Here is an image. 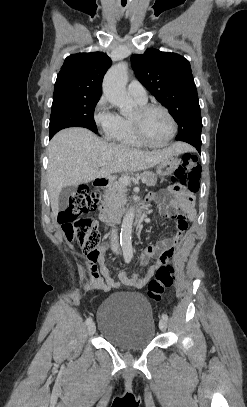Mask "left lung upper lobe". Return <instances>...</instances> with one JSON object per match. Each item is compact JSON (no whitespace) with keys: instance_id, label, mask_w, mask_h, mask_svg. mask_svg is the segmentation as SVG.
Segmentation results:
<instances>
[{"instance_id":"1","label":"left lung upper lobe","mask_w":247,"mask_h":407,"mask_svg":"<svg viewBox=\"0 0 247 407\" xmlns=\"http://www.w3.org/2000/svg\"><path fill=\"white\" fill-rule=\"evenodd\" d=\"M131 61L138 80L177 122L176 140L201 135L198 94L188 60L178 54L148 49L143 55H132Z\"/></svg>"}]
</instances>
